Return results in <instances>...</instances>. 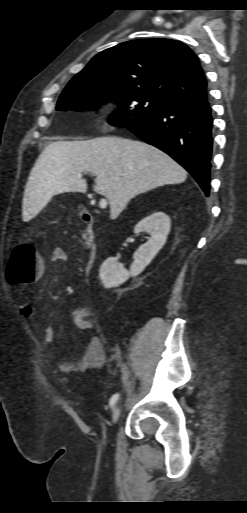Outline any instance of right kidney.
<instances>
[{
  "label": "right kidney",
  "instance_id": "1",
  "mask_svg": "<svg viewBox=\"0 0 247 513\" xmlns=\"http://www.w3.org/2000/svg\"><path fill=\"white\" fill-rule=\"evenodd\" d=\"M171 220L164 212H154L141 220L134 228V233L147 232L148 241L134 253V262L127 271L115 258L109 257L100 267L99 276L105 288L117 287L129 276L140 274L164 246L170 232Z\"/></svg>",
  "mask_w": 247,
  "mask_h": 513
}]
</instances>
